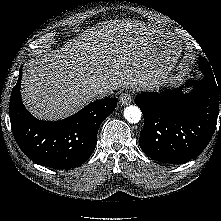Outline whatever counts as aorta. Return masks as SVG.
I'll return each instance as SVG.
<instances>
[{
	"instance_id": "762f6f07",
	"label": "aorta",
	"mask_w": 221,
	"mask_h": 221,
	"mask_svg": "<svg viewBox=\"0 0 221 221\" xmlns=\"http://www.w3.org/2000/svg\"><path fill=\"white\" fill-rule=\"evenodd\" d=\"M124 118L129 123H138L141 120V110L135 105L127 106L124 109Z\"/></svg>"
}]
</instances>
